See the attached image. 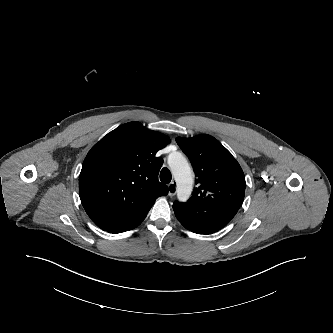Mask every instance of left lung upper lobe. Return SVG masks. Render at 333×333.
I'll list each match as a JSON object with an SVG mask.
<instances>
[{"mask_svg": "<svg viewBox=\"0 0 333 333\" xmlns=\"http://www.w3.org/2000/svg\"><path fill=\"white\" fill-rule=\"evenodd\" d=\"M176 141L191 160L198 177L189 203L236 197L242 204L246 187L244 173L217 139L202 134L193 138L178 137Z\"/></svg>", "mask_w": 333, "mask_h": 333, "instance_id": "5c2ea615", "label": "left lung upper lobe"}]
</instances>
